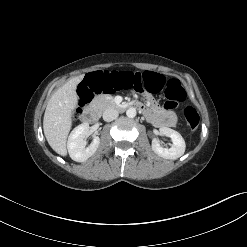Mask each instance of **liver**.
Returning <instances> with one entry per match:
<instances>
[{
    "instance_id": "1",
    "label": "liver",
    "mask_w": 247,
    "mask_h": 247,
    "mask_svg": "<svg viewBox=\"0 0 247 247\" xmlns=\"http://www.w3.org/2000/svg\"><path fill=\"white\" fill-rule=\"evenodd\" d=\"M82 76L70 79L51 96L43 119L44 135L51 148L61 156L67 155V137L77 105V84Z\"/></svg>"
}]
</instances>
